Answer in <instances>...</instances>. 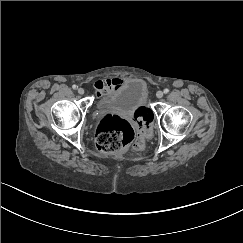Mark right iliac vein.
I'll list each match as a JSON object with an SVG mask.
<instances>
[{"label": "right iliac vein", "instance_id": "obj_1", "mask_svg": "<svg viewBox=\"0 0 243 243\" xmlns=\"http://www.w3.org/2000/svg\"><path fill=\"white\" fill-rule=\"evenodd\" d=\"M84 92H85V90H84L83 88H79V89H78V93H79V94L82 95V94H84Z\"/></svg>", "mask_w": 243, "mask_h": 243}]
</instances>
